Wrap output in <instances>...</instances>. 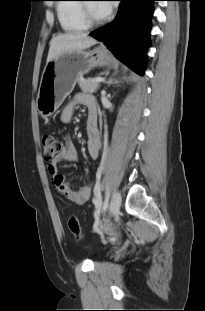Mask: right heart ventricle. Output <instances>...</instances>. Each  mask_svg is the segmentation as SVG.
<instances>
[{"label":"right heart ventricle","instance_id":"obj_1","mask_svg":"<svg viewBox=\"0 0 205 311\" xmlns=\"http://www.w3.org/2000/svg\"><path fill=\"white\" fill-rule=\"evenodd\" d=\"M62 2H75L79 0H61ZM81 4L60 3L57 5V17L62 29L68 33H76L87 29L82 14Z\"/></svg>","mask_w":205,"mask_h":311}]
</instances>
